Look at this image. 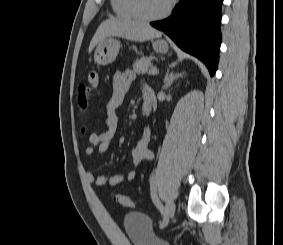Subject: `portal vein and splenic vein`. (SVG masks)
Returning <instances> with one entry per match:
<instances>
[{
	"label": "portal vein and splenic vein",
	"instance_id": "1",
	"mask_svg": "<svg viewBox=\"0 0 283 245\" xmlns=\"http://www.w3.org/2000/svg\"><path fill=\"white\" fill-rule=\"evenodd\" d=\"M159 71L157 70V68H153L151 70H149L148 74H157Z\"/></svg>",
	"mask_w": 283,
	"mask_h": 245
}]
</instances>
